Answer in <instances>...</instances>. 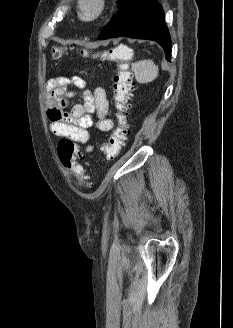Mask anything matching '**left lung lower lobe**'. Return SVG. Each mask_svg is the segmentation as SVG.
<instances>
[{
  "instance_id": "obj_1",
  "label": "left lung lower lobe",
  "mask_w": 233,
  "mask_h": 328,
  "mask_svg": "<svg viewBox=\"0 0 233 328\" xmlns=\"http://www.w3.org/2000/svg\"><path fill=\"white\" fill-rule=\"evenodd\" d=\"M130 37L154 40L171 59V39L164 22L162 6L156 0H126L116 16L99 34V39Z\"/></svg>"
}]
</instances>
